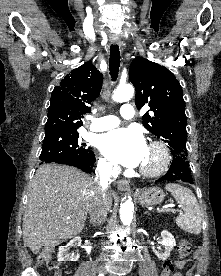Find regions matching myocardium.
Segmentation results:
<instances>
[{
    "mask_svg": "<svg viewBox=\"0 0 221 276\" xmlns=\"http://www.w3.org/2000/svg\"><path fill=\"white\" fill-rule=\"evenodd\" d=\"M148 148L157 152L158 162L151 167L141 166L139 171L143 176L157 177L168 169L171 162V153L167 145L160 140L150 141Z\"/></svg>",
    "mask_w": 221,
    "mask_h": 276,
    "instance_id": "myocardium-1",
    "label": "myocardium"
}]
</instances>
